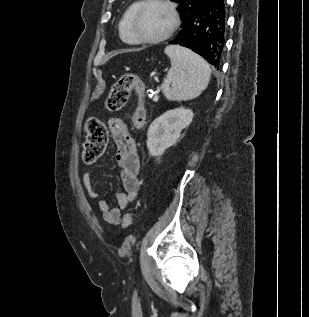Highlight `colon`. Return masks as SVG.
<instances>
[{"label": "colon", "instance_id": "5ec220e1", "mask_svg": "<svg viewBox=\"0 0 309 317\" xmlns=\"http://www.w3.org/2000/svg\"><path fill=\"white\" fill-rule=\"evenodd\" d=\"M135 91L140 98L138 107L134 114V123L138 128L143 127L145 122V108L143 103L145 86L138 75L134 73L123 74L112 86L106 99V106L110 111L122 109L128 102L131 92ZM108 131L106 125L99 119L91 118L86 125V137L83 145V160L87 164L95 162L100 158L107 145ZM124 226L132 225V217L125 214Z\"/></svg>", "mask_w": 309, "mask_h": 317}]
</instances>
